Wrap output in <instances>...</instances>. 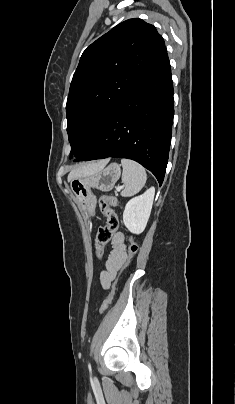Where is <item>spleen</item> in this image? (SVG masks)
<instances>
[{
  "mask_svg": "<svg viewBox=\"0 0 235 404\" xmlns=\"http://www.w3.org/2000/svg\"><path fill=\"white\" fill-rule=\"evenodd\" d=\"M121 164L123 167L122 182L125 186L121 195L130 197L138 193L144 187L147 174L145 168L133 160L122 159Z\"/></svg>",
  "mask_w": 235,
  "mask_h": 404,
  "instance_id": "1",
  "label": "spleen"
}]
</instances>
